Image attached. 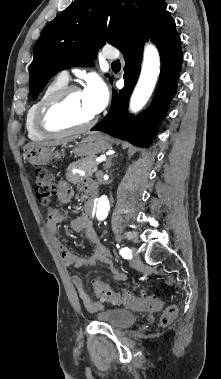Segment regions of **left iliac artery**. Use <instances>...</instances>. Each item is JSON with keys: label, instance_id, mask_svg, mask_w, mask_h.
<instances>
[{"label": "left iliac artery", "instance_id": "obj_1", "mask_svg": "<svg viewBox=\"0 0 221 379\" xmlns=\"http://www.w3.org/2000/svg\"><path fill=\"white\" fill-rule=\"evenodd\" d=\"M119 253L124 259L132 258V251L127 247L121 248Z\"/></svg>", "mask_w": 221, "mask_h": 379}]
</instances>
